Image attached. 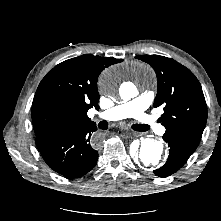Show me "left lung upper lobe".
Masks as SVG:
<instances>
[{
    "label": "left lung upper lobe",
    "mask_w": 221,
    "mask_h": 221,
    "mask_svg": "<svg viewBox=\"0 0 221 221\" xmlns=\"http://www.w3.org/2000/svg\"><path fill=\"white\" fill-rule=\"evenodd\" d=\"M156 72L158 92L154 107L163 106L160 118L165 135H175L199 144L207 121V105L201 85L185 66L159 55H138Z\"/></svg>",
    "instance_id": "5c2ea615"
}]
</instances>
